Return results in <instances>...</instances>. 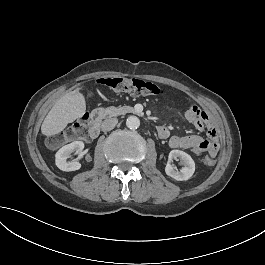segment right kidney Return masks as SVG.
<instances>
[{
  "mask_svg": "<svg viewBox=\"0 0 265 265\" xmlns=\"http://www.w3.org/2000/svg\"><path fill=\"white\" fill-rule=\"evenodd\" d=\"M84 143L82 141H74L61 147L55 154V164L63 172H73L79 170L82 165L76 161L69 162V155L75 150L82 153Z\"/></svg>",
  "mask_w": 265,
  "mask_h": 265,
  "instance_id": "right-kidney-1",
  "label": "right kidney"
}]
</instances>
